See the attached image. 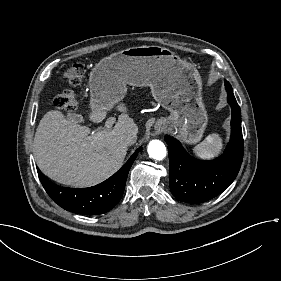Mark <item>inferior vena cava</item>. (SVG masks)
Returning a JSON list of instances; mask_svg holds the SVG:
<instances>
[{
	"mask_svg": "<svg viewBox=\"0 0 281 281\" xmlns=\"http://www.w3.org/2000/svg\"><path fill=\"white\" fill-rule=\"evenodd\" d=\"M137 136L136 134L129 133V134H121L119 136L120 143L124 145H132L136 142Z\"/></svg>",
	"mask_w": 281,
	"mask_h": 281,
	"instance_id": "inferior-vena-cava-1",
	"label": "inferior vena cava"
}]
</instances>
